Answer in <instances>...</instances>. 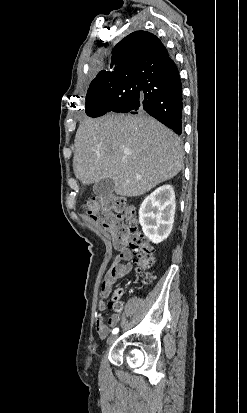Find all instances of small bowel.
Here are the masks:
<instances>
[{
  "label": "small bowel",
  "instance_id": "1",
  "mask_svg": "<svg viewBox=\"0 0 247 413\" xmlns=\"http://www.w3.org/2000/svg\"><path fill=\"white\" fill-rule=\"evenodd\" d=\"M133 269V255L130 250L123 249L112 261L107 273L102 281L101 290L98 299V310L103 312L106 308V302L109 298L113 285L117 280L128 275ZM121 292L116 291L113 294V298H120ZM120 322V316L117 314L112 315L109 318L108 325L104 322L101 314H99L95 320V331L100 338H106L110 333V327H116Z\"/></svg>",
  "mask_w": 247,
  "mask_h": 413
}]
</instances>
